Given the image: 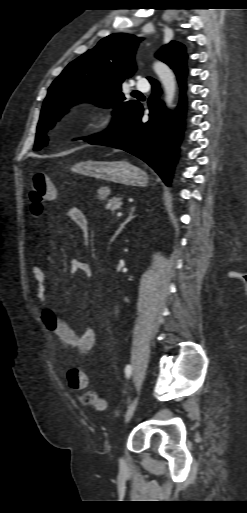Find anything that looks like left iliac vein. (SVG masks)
<instances>
[{"label": "left iliac vein", "instance_id": "4c4485c4", "mask_svg": "<svg viewBox=\"0 0 247 513\" xmlns=\"http://www.w3.org/2000/svg\"><path fill=\"white\" fill-rule=\"evenodd\" d=\"M138 400H139V397L137 396L133 401L132 403L130 404L128 410H127V413H126V416H125V422L128 423L130 421V419L132 418L136 408H137V405H138ZM119 465H120V469L122 471L126 470V462L123 458H121L119 460Z\"/></svg>", "mask_w": 247, "mask_h": 513}]
</instances>
